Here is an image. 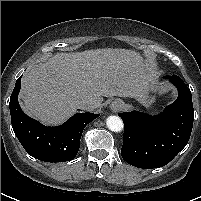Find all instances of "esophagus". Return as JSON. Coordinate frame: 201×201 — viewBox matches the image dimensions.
Returning <instances> with one entry per match:
<instances>
[{
    "label": "esophagus",
    "instance_id": "34e87169",
    "mask_svg": "<svg viewBox=\"0 0 201 201\" xmlns=\"http://www.w3.org/2000/svg\"><path fill=\"white\" fill-rule=\"evenodd\" d=\"M123 107V101L120 99H115L111 102L110 108L113 112H118L122 109Z\"/></svg>",
    "mask_w": 201,
    "mask_h": 201
}]
</instances>
